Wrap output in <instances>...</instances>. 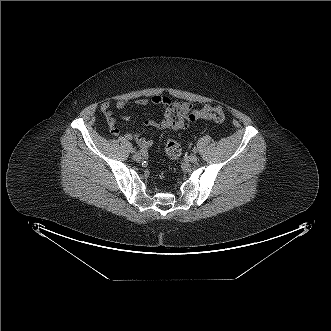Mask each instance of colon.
<instances>
[{"label": "colon", "mask_w": 331, "mask_h": 331, "mask_svg": "<svg viewBox=\"0 0 331 331\" xmlns=\"http://www.w3.org/2000/svg\"><path fill=\"white\" fill-rule=\"evenodd\" d=\"M224 117V112L219 106H205L197 112L190 114L189 116L190 120L200 118L212 120L215 122H222ZM165 151L170 158L176 159L181 154V147L176 141L169 140L166 142Z\"/></svg>", "instance_id": "5ec220e1"}]
</instances>
